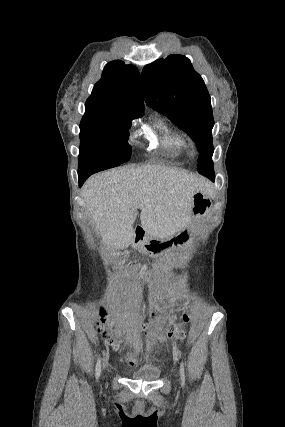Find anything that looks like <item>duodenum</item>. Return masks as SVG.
Instances as JSON below:
<instances>
[{"instance_id":"obj_1","label":"duodenum","mask_w":285,"mask_h":427,"mask_svg":"<svg viewBox=\"0 0 285 427\" xmlns=\"http://www.w3.org/2000/svg\"><path fill=\"white\" fill-rule=\"evenodd\" d=\"M131 242L138 246H144L146 242V231L143 227L137 226L132 230Z\"/></svg>"}]
</instances>
